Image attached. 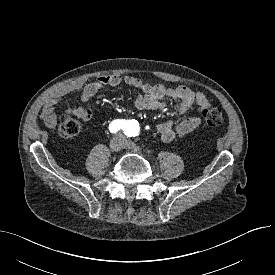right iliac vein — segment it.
<instances>
[{"label": "right iliac vein", "instance_id": "obj_1", "mask_svg": "<svg viewBox=\"0 0 275 275\" xmlns=\"http://www.w3.org/2000/svg\"><path fill=\"white\" fill-rule=\"evenodd\" d=\"M123 146L122 139L120 137H115L110 142V150L113 152H118Z\"/></svg>", "mask_w": 275, "mask_h": 275}]
</instances>
